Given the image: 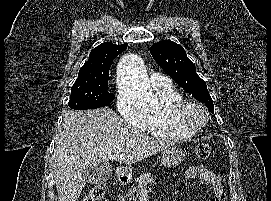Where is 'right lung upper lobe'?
I'll list each match as a JSON object with an SVG mask.
<instances>
[{
    "label": "right lung upper lobe",
    "mask_w": 271,
    "mask_h": 201,
    "mask_svg": "<svg viewBox=\"0 0 271 201\" xmlns=\"http://www.w3.org/2000/svg\"><path fill=\"white\" fill-rule=\"evenodd\" d=\"M127 48V44L116 45L113 43H102L95 47L89 59L84 63L78 73V77H89L95 75L109 74L113 59Z\"/></svg>",
    "instance_id": "obj_1"
}]
</instances>
